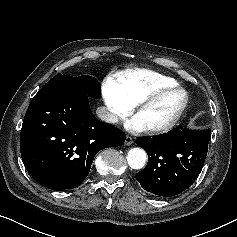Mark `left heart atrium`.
I'll return each instance as SVG.
<instances>
[{
  "label": "left heart atrium",
  "mask_w": 237,
  "mask_h": 237,
  "mask_svg": "<svg viewBox=\"0 0 237 237\" xmlns=\"http://www.w3.org/2000/svg\"><path fill=\"white\" fill-rule=\"evenodd\" d=\"M126 127L131 131H141L145 127L143 124L138 120V118L135 116L130 121L127 122Z\"/></svg>",
  "instance_id": "39dd6f15"
}]
</instances>
